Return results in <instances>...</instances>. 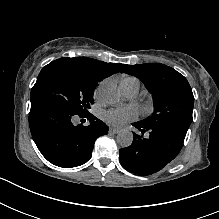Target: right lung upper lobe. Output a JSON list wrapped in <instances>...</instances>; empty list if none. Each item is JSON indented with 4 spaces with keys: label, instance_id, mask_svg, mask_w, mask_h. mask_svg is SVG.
<instances>
[{
    "label": "right lung upper lobe",
    "instance_id": "obj_1",
    "mask_svg": "<svg viewBox=\"0 0 219 219\" xmlns=\"http://www.w3.org/2000/svg\"><path fill=\"white\" fill-rule=\"evenodd\" d=\"M59 60L68 61L77 64L79 66H82L85 69H87L92 75H94L95 77L101 80L107 78L108 76L114 73L121 71L125 66V64L106 63L103 61H98L96 59H91L87 57H75V58L63 57L60 58Z\"/></svg>",
    "mask_w": 219,
    "mask_h": 219
}]
</instances>
